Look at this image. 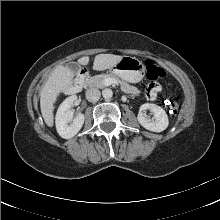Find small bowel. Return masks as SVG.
Returning a JSON list of instances; mask_svg holds the SVG:
<instances>
[{
  "mask_svg": "<svg viewBox=\"0 0 220 220\" xmlns=\"http://www.w3.org/2000/svg\"><path fill=\"white\" fill-rule=\"evenodd\" d=\"M161 90V87L158 84L150 83L147 86L146 96L149 99L156 98L158 92Z\"/></svg>",
  "mask_w": 220,
  "mask_h": 220,
  "instance_id": "small-bowel-1",
  "label": "small bowel"
}]
</instances>
